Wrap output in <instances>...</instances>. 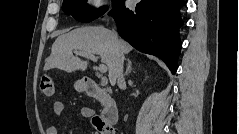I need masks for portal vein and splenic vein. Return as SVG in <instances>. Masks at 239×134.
I'll return each mask as SVG.
<instances>
[{"label": "portal vein and splenic vein", "mask_w": 239, "mask_h": 134, "mask_svg": "<svg viewBox=\"0 0 239 134\" xmlns=\"http://www.w3.org/2000/svg\"><path fill=\"white\" fill-rule=\"evenodd\" d=\"M76 53L78 55L83 56L85 58H88L90 60L97 61V57L94 54H91V53H88V52H81V51H76ZM98 70L101 73H105V72H107V66L104 65V64H100L99 67H98Z\"/></svg>", "instance_id": "portal-vein-and-splenic-vein-1"}]
</instances>
